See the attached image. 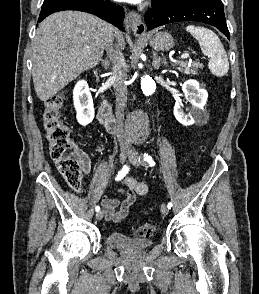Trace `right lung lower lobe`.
I'll return each instance as SVG.
<instances>
[{
  "label": "right lung lower lobe",
  "mask_w": 259,
  "mask_h": 294,
  "mask_svg": "<svg viewBox=\"0 0 259 294\" xmlns=\"http://www.w3.org/2000/svg\"><path fill=\"white\" fill-rule=\"evenodd\" d=\"M63 10L91 13L124 30L122 26L124 10L121 6L111 3L109 0H53L42 6L38 23L48 15Z\"/></svg>",
  "instance_id": "1"
}]
</instances>
